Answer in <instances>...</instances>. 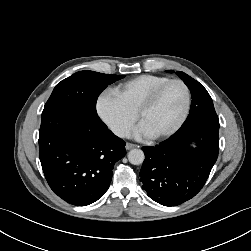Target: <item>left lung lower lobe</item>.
<instances>
[{
    "instance_id": "obj_1",
    "label": "left lung lower lobe",
    "mask_w": 251,
    "mask_h": 251,
    "mask_svg": "<svg viewBox=\"0 0 251 251\" xmlns=\"http://www.w3.org/2000/svg\"><path fill=\"white\" fill-rule=\"evenodd\" d=\"M195 140L197 148H191ZM143 189L154 201L177 206L204 186L219 151V121H197L182 126L159 145L142 147Z\"/></svg>"
}]
</instances>
